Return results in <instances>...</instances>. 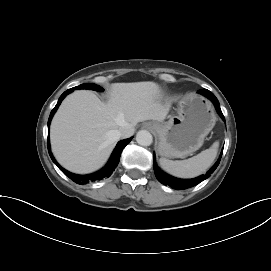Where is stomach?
<instances>
[{
	"instance_id": "0dacf381",
	"label": "stomach",
	"mask_w": 271,
	"mask_h": 271,
	"mask_svg": "<svg viewBox=\"0 0 271 271\" xmlns=\"http://www.w3.org/2000/svg\"><path fill=\"white\" fill-rule=\"evenodd\" d=\"M216 115L211 103L196 93L186 94L178 102L177 114L166 122H154L158 135V153L167 158H185L197 151L213 129Z\"/></svg>"
}]
</instances>
